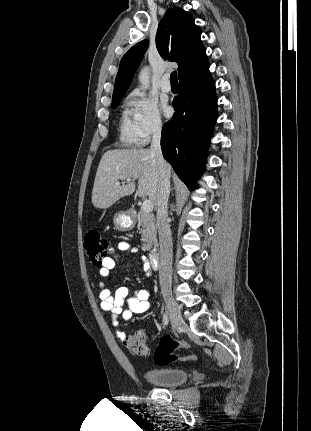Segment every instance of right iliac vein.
Returning <instances> with one entry per match:
<instances>
[{"label": "right iliac vein", "instance_id": "obj_1", "mask_svg": "<svg viewBox=\"0 0 311 431\" xmlns=\"http://www.w3.org/2000/svg\"><path fill=\"white\" fill-rule=\"evenodd\" d=\"M165 303L167 305L169 314H170V320L173 326V329L175 331H179L181 326L183 325V319L180 313V308L178 304L174 301L171 294L164 293L163 294Z\"/></svg>", "mask_w": 311, "mask_h": 431}]
</instances>
